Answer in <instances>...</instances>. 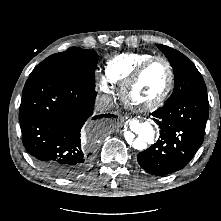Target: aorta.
Instances as JSON below:
<instances>
[{
	"instance_id": "1",
	"label": "aorta",
	"mask_w": 221,
	"mask_h": 221,
	"mask_svg": "<svg viewBox=\"0 0 221 221\" xmlns=\"http://www.w3.org/2000/svg\"><path fill=\"white\" fill-rule=\"evenodd\" d=\"M130 128L132 132H125V139L133 148L144 150L147 146L146 143L154 140L155 130L150 122L133 120Z\"/></svg>"
}]
</instances>
